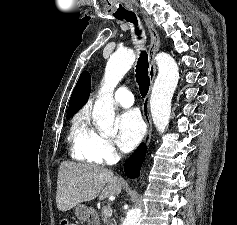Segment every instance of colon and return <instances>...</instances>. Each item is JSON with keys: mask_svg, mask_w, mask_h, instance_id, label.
I'll return each instance as SVG.
<instances>
[{"mask_svg": "<svg viewBox=\"0 0 237 225\" xmlns=\"http://www.w3.org/2000/svg\"><path fill=\"white\" fill-rule=\"evenodd\" d=\"M60 225H76V224L64 219L60 222Z\"/></svg>", "mask_w": 237, "mask_h": 225, "instance_id": "colon-1", "label": "colon"}]
</instances>
